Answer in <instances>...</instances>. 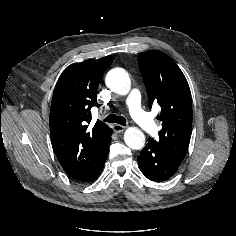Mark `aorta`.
I'll return each instance as SVG.
<instances>
[{
    "mask_svg": "<svg viewBox=\"0 0 236 236\" xmlns=\"http://www.w3.org/2000/svg\"><path fill=\"white\" fill-rule=\"evenodd\" d=\"M105 83L113 92L125 95L129 92L131 81L128 73L122 68L111 69L105 78ZM124 141L128 147L140 150L145 144V135L136 127H129L124 133Z\"/></svg>",
    "mask_w": 236,
    "mask_h": 236,
    "instance_id": "aorta-1",
    "label": "aorta"
}]
</instances>
